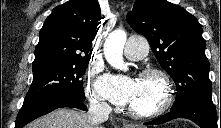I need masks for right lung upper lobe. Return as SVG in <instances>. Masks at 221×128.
I'll use <instances>...</instances> for the list:
<instances>
[{
    "mask_svg": "<svg viewBox=\"0 0 221 128\" xmlns=\"http://www.w3.org/2000/svg\"><path fill=\"white\" fill-rule=\"evenodd\" d=\"M101 19L97 0H69L55 7L40 30L32 70L90 60Z\"/></svg>",
    "mask_w": 221,
    "mask_h": 128,
    "instance_id": "1",
    "label": "right lung upper lobe"
}]
</instances>
